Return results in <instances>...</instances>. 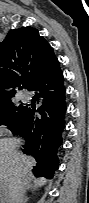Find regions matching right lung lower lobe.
Instances as JSON below:
<instances>
[{
    "label": "right lung lower lobe",
    "mask_w": 89,
    "mask_h": 203,
    "mask_svg": "<svg viewBox=\"0 0 89 203\" xmlns=\"http://www.w3.org/2000/svg\"><path fill=\"white\" fill-rule=\"evenodd\" d=\"M28 90L35 91L39 107L26 108L13 133L26 140L22 151L36 159L34 175L52 178L59 166L57 149L62 144L66 112L60 65L38 78Z\"/></svg>",
    "instance_id": "1"
}]
</instances>
